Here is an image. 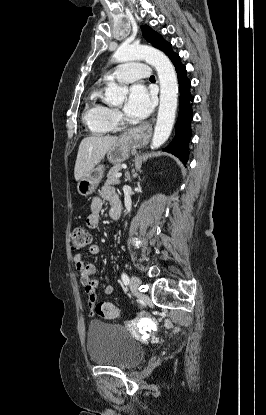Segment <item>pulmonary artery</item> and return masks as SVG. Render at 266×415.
Segmentation results:
<instances>
[{"instance_id":"pulmonary-artery-1","label":"pulmonary artery","mask_w":266,"mask_h":415,"mask_svg":"<svg viewBox=\"0 0 266 415\" xmlns=\"http://www.w3.org/2000/svg\"><path fill=\"white\" fill-rule=\"evenodd\" d=\"M113 77L119 82H132L141 78H149L150 69L144 63L129 62L120 65L113 72Z\"/></svg>"}]
</instances>
